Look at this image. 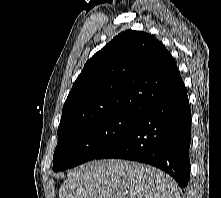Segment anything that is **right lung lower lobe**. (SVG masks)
<instances>
[{
  "mask_svg": "<svg viewBox=\"0 0 221 198\" xmlns=\"http://www.w3.org/2000/svg\"><path fill=\"white\" fill-rule=\"evenodd\" d=\"M191 110L184 83L140 116L133 129L95 159L119 158L153 165L184 189L190 178Z\"/></svg>",
  "mask_w": 221,
  "mask_h": 198,
  "instance_id": "98d812e1",
  "label": "right lung lower lobe"
}]
</instances>
